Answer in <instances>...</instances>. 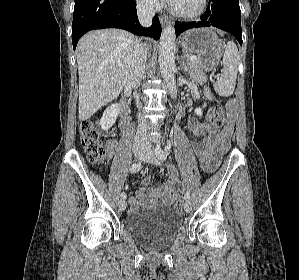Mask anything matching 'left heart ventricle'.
Wrapping results in <instances>:
<instances>
[{"label":"left heart ventricle","mask_w":299,"mask_h":280,"mask_svg":"<svg viewBox=\"0 0 299 280\" xmlns=\"http://www.w3.org/2000/svg\"><path fill=\"white\" fill-rule=\"evenodd\" d=\"M172 5L180 11L193 12L199 7L200 0H176Z\"/></svg>","instance_id":"left-heart-ventricle-1"}]
</instances>
